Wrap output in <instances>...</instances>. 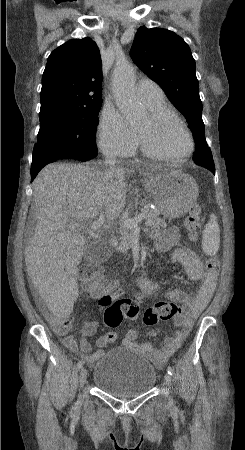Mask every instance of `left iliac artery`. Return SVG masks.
Instances as JSON below:
<instances>
[{"mask_svg": "<svg viewBox=\"0 0 245 450\" xmlns=\"http://www.w3.org/2000/svg\"><path fill=\"white\" fill-rule=\"evenodd\" d=\"M167 372H168L169 375H171V376L173 375V369H172L171 366H168Z\"/></svg>", "mask_w": 245, "mask_h": 450, "instance_id": "obj_1", "label": "left iliac artery"}]
</instances>
